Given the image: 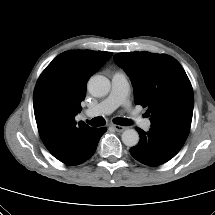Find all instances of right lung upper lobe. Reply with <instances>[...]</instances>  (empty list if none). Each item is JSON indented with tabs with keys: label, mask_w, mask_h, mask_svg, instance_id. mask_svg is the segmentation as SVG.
<instances>
[{
	"label": "right lung upper lobe",
	"mask_w": 215,
	"mask_h": 215,
	"mask_svg": "<svg viewBox=\"0 0 215 215\" xmlns=\"http://www.w3.org/2000/svg\"><path fill=\"white\" fill-rule=\"evenodd\" d=\"M111 52L70 50L58 55L41 73L33 94L40 137L59 161L73 165L96 128L75 116L86 95L89 78L110 59Z\"/></svg>",
	"instance_id": "1"
}]
</instances>
